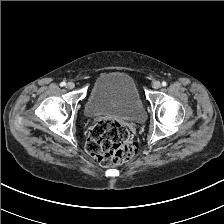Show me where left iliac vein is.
I'll use <instances>...</instances> for the list:
<instances>
[{
  "label": "left iliac vein",
  "mask_w": 224,
  "mask_h": 224,
  "mask_svg": "<svg viewBox=\"0 0 224 224\" xmlns=\"http://www.w3.org/2000/svg\"><path fill=\"white\" fill-rule=\"evenodd\" d=\"M152 87L154 89H159L161 87V83L159 81H154Z\"/></svg>",
  "instance_id": "4c4485c4"
}]
</instances>
